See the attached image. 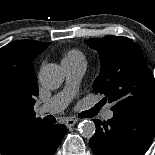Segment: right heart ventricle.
<instances>
[{
	"mask_svg": "<svg viewBox=\"0 0 155 155\" xmlns=\"http://www.w3.org/2000/svg\"><path fill=\"white\" fill-rule=\"evenodd\" d=\"M62 62H84L86 63V57L82 51L78 49H72L66 53Z\"/></svg>",
	"mask_w": 155,
	"mask_h": 155,
	"instance_id": "1",
	"label": "right heart ventricle"
}]
</instances>
